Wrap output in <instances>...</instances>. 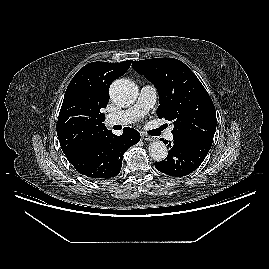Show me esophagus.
I'll return each instance as SVG.
<instances>
[{"instance_id":"obj_1","label":"esophagus","mask_w":269,"mask_h":269,"mask_svg":"<svg viewBox=\"0 0 269 269\" xmlns=\"http://www.w3.org/2000/svg\"><path fill=\"white\" fill-rule=\"evenodd\" d=\"M141 138L143 140H145V141H152V140H154V138L152 136H149V135L144 134V133L141 134Z\"/></svg>"}]
</instances>
